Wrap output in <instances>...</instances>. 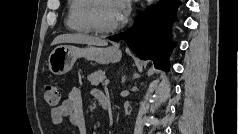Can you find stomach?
Returning a JSON list of instances; mask_svg holds the SVG:
<instances>
[{"instance_id":"1","label":"stomach","mask_w":239,"mask_h":134,"mask_svg":"<svg viewBox=\"0 0 239 134\" xmlns=\"http://www.w3.org/2000/svg\"><path fill=\"white\" fill-rule=\"evenodd\" d=\"M80 57L99 64H108L119 62L122 58V52L115 46L106 48L93 46L79 48L71 45H60L49 55V70L54 75L65 74Z\"/></svg>"}]
</instances>
